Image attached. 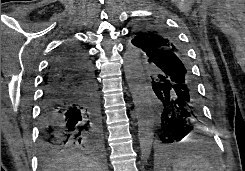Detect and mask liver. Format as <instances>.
Wrapping results in <instances>:
<instances>
[{
	"label": "liver",
	"mask_w": 245,
	"mask_h": 171,
	"mask_svg": "<svg viewBox=\"0 0 245 171\" xmlns=\"http://www.w3.org/2000/svg\"><path fill=\"white\" fill-rule=\"evenodd\" d=\"M44 171H103L101 165L79 154H71L49 163Z\"/></svg>",
	"instance_id": "6515ba94"
}]
</instances>
